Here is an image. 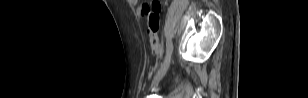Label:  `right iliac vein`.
Instances as JSON below:
<instances>
[{
	"label": "right iliac vein",
	"mask_w": 308,
	"mask_h": 98,
	"mask_svg": "<svg viewBox=\"0 0 308 98\" xmlns=\"http://www.w3.org/2000/svg\"><path fill=\"white\" fill-rule=\"evenodd\" d=\"M171 56H172V52L166 54L164 63L162 64V66L159 69V71L157 72V74L154 76L152 84L155 85V84L159 83V81L164 77V75L166 74V71H167V69L170 65V62H171Z\"/></svg>",
	"instance_id": "right-iliac-vein-1"
}]
</instances>
